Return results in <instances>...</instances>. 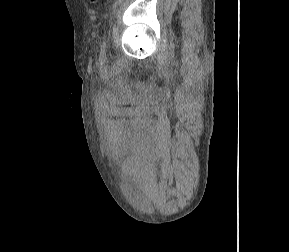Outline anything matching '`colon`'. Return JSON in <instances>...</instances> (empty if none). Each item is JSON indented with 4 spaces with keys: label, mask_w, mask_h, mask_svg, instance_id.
<instances>
[{
    "label": "colon",
    "mask_w": 289,
    "mask_h": 252,
    "mask_svg": "<svg viewBox=\"0 0 289 252\" xmlns=\"http://www.w3.org/2000/svg\"><path fill=\"white\" fill-rule=\"evenodd\" d=\"M92 2H94V3H97L99 0H91Z\"/></svg>",
    "instance_id": "5ec220e1"
}]
</instances>
